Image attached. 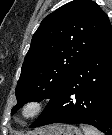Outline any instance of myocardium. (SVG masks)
Wrapping results in <instances>:
<instances>
[{
  "label": "myocardium",
  "instance_id": "f54148a6",
  "mask_svg": "<svg viewBox=\"0 0 112 135\" xmlns=\"http://www.w3.org/2000/svg\"><path fill=\"white\" fill-rule=\"evenodd\" d=\"M42 103L37 99L27 100L20 108V116L24 120H32L40 115Z\"/></svg>",
  "mask_w": 112,
  "mask_h": 135
}]
</instances>
